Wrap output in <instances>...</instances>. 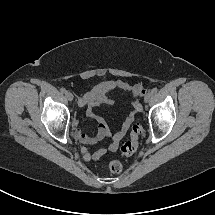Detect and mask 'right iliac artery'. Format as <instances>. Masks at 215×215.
<instances>
[{
    "mask_svg": "<svg viewBox=\"0 0 215 215\" xmlns=\"http://www.w3.org/2000/svg\"><path fill=\"white\" fill-rule=\"evenodd\" d=\"M60 91H61L62 93H66V92H67L65 88H61Z\"/></svg>",
    "mask_w": 215,
    "mask_h": 215,
    "instance_id": "right-iliac-artery-1",
    "label": "right iliac artery"
}]
</instances>
